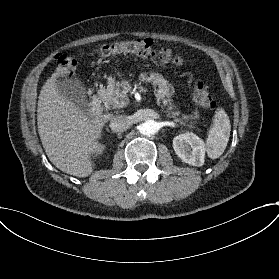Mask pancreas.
Returning <instances> with one entry per match:
<instances>
[{"mask_svg": "<svg viewBox=\"0 0 279 279\" xmlns=\"http://www.w3.org/2000/svg\"><path fill=\"white\" fill-rule=\"evenodd\" d=\"M138 82H145L148 85H151L155 91V96L158 99H162L165 105L167 104L168 98L174 93V91L170 89L169 82L162 76V74H158L155 71H151L150 74L145 71L140 72ZM132 89L133 87L123 80L110 84L102 94L104 105L111 109L127 107L129 103L128 93L131 92ZM168 108L170 110L173 108L171 103H169ZM162 112L166 113L164 109H162ZM177 115L178 113L167 114V118H174L175 122H179L181 119L176 118ZM183 119L189 120L191 118L185 116Z\"/></svg>", "mask_w": 279, "mask_h": 279, "instance_id": "cf45deb5", "label": "pancreas"}]
</instances>
